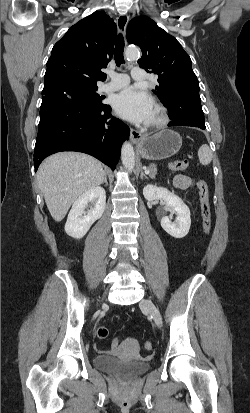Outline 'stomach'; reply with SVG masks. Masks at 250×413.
I'll return each mask as SVG.
<instances>
[{
    "label": "stomach",
    "mask_w": 250,
    "mask_h": 413,
    "mask_svg": "<svg viewBox=\"0 0 250 413\" xmlns=\"http://www.w3.org/2000/svg\"><path fill=\"white\" fill-rule=\"evenodd\" d=\"M182 146L181 136L172 130H162L144 136L137 145L138 153L147 160H162L175 155Z\"/></svg>",
    "instance_id": "obj_1"
}]
</instances>
